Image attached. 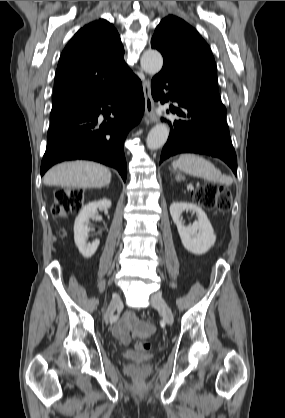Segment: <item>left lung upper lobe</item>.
I'll list each match as a JSON object with an SVG mask.
<instances>
[{
	"label": "left lung upper lobe",
	"instance_id": "1",
	"mask_svg": "<svg viewBox=\"0 0 285 418\" xmlns=\"http://www.w3.org/2000/svg\"><path fill=\"white\" fill-rule=\"evenodd\" d=\"M151 47L163 55L168 69L190 86L220 99L217 68L208 44L184 20L169 15L157 26Z\"/></svg>",
	"mask_w": 285,
	"mask_h": 418
}]
</instances>
